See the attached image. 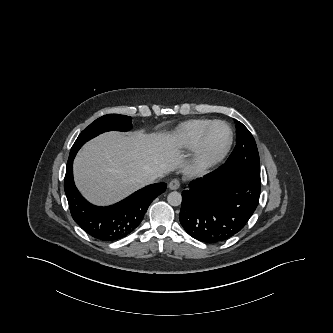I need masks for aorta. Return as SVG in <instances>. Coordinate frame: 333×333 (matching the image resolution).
Masks as SVG:
<instances>
[{"label":"aorta","instance_id":"762f6f07","mask_svg":"<svg viewBox=\"0 0 333 333\" xmlns=\"http://www.w3.org/2000/svg\"><path fill=\"white\" fill-rule=\"evenodd\" d=\"M167 201L172 206H178L182 202V196L179 192L174 191V192L169 193V195L167 197Z\"/></svg>","mask_w":333,"mask_h":333}]
</instances>
